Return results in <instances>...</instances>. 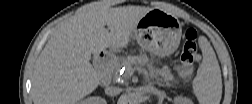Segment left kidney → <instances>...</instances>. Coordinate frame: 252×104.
I'll list each match as a JSON object with an SVG mask.
<instances>
[{
    "label": "left kidney",
    "mask_w": 252,
    "mask_h": 104,
    "mask_svg": "<svg viewBox=\"0 0 252 104\" xmlns=\"http://www.w3.org/2000/svg\"><path fill=\"white\" fill-rule=\"evenodd\" d=\"M175 103H189V100L185 99V98H181V97H176L174 99Z\"/></svg>",
    "instance_id": "1"
}]
</instances>
